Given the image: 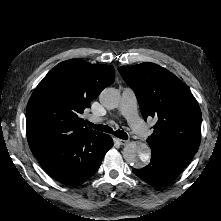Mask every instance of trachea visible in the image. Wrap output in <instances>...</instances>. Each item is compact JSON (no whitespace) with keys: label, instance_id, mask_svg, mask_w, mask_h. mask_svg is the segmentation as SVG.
Here are the masks:
<instances>
[{"label":"trachea","instance_id":"obj_1","mask_svg":"<svg viewBox=\"0 0 221 221\" xmlns=\"http://www.w3.org/2000/svg\"><path fill=\"white\" fill-rule=\"evenodd\" d=\"M86 124L88 126L94 128L95 130H98L101 132H106V133H110V134L114 133V135L120 139L126 140L128 138L127 133H125L123 130H116L115 132H113V129L110 128L109 126H106V125H96V124H93L89 121H86Z\"/></svg>","mask_w":221,"mask_h":221}]
</instances>
